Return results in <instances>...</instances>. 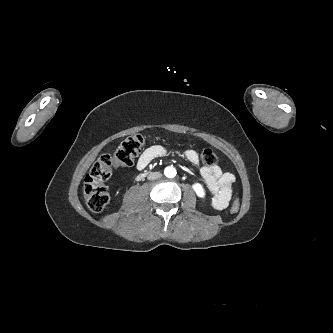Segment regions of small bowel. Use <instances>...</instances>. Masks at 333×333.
Segmentation results:
<instances>
[{
    "label": "small bowel",
    "mask_w": 333,
    "mask_h": 333,
    "mask_svg": "<svg viewBox=\"0 0 333 333\" xmlns=\"http://www.w3.org/2000/svg\"><path fill=\"white\" fill-rule=\"evenodd\" d=\"M169 151L170 149L163 145H154L146 149L137 161V168L144 170L155 158L164 156ZM183 155L191 164L196 165L199 163L196 151L187 149L183 152ZM200 173L212 194V206L217 210L226 208L232 196L235 176L230 172H223L217 165L203 166Z\"/></svg>",
    "instance_id": "small-bowel-1"
}]
</instances>
